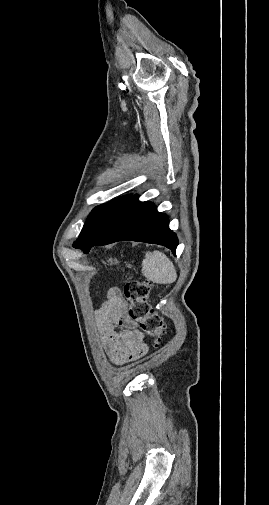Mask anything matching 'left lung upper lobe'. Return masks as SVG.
<instances>
[{
  "label": "left lung upper lobe",
  "mask_w": 269,
  "mask_h": 505,
  "mask_svg": "<svg viewBox=\"0 0 269 505\" xmlns=\"http://www.w3.org/2000/svg\"><path fill=\"white\" fill-rule=\"evenodd\" d=\"M131 197L132 195H127L95 207L73 246L82 249L98 242L110 229Z\"/></svg>",
  "instance_id": "5c2ea615"
}]
</instances>
